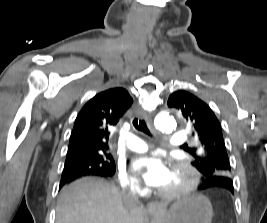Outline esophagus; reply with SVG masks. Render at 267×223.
Returning a JSON list of instances; mask_svg holds the SVG:
<instances>
[{
    "mask_svg": "<svg viewBox=\"0 0 267 223\" xmlns=\"http://www.w3.org/2000/svg\"><path fill=\"white\" fill-rule=\"evenodd\" d=\"M139 116H140V118L148 121V115H147L146 112L141 111ZM147 210L149 212H158V211L161 210V206L156 202H150V203L147 204Z\"/></svg>",
    "mask_w": 267,
    "mask_h": 223,
    "instance_id": "34e87169",
    "label": "esophagus"
}]
</instances>
